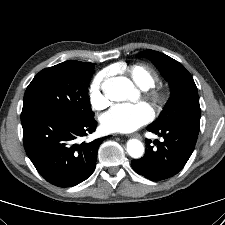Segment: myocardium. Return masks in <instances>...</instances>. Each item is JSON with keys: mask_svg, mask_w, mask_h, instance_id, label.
Instances as JSON below:
<instances>
[{"mask_svg": "<svg viewBox=\"0 0 225 225\" xmlns=\"http://www.w3.org/2000/svg\"><path fill=\"white\" fill-rule=\"evenodd\" d=\"M147 96L158 107H163L167 99L166 93L159 89L150 90Z\"/></svg>", "mask_w": 225, "mask_h": 225, "instance_id": "1", "label": "myocardium"}]
</instances>
